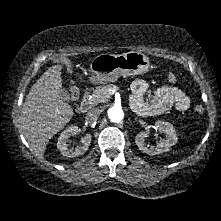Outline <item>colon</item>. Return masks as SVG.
I'll return each mask as SVG.
<instances>
[{"label": "colon", "mask_w": 221, "mask_h": 221, "mask_svg": "<svg viewBox=\"0 0 221 221\" xmlns=\"http://www.w3.org/2000/svg\"><path fill=\"white\" fill-rule=\"evenodd\" d=\"M167 80L171 83L175 82L176 81V75L173 74V73H169L167 75ZM71 95H72V98L73 99H77L78 96H79V92L76 88H73L72 91H71ZM194 112L197 114V115H202L204 113V108L201 106V105H197L195 106L194 108Z\"/></svg>", "instance_id": "1"}]
</instances>
